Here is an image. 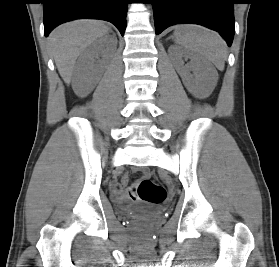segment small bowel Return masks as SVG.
Segmentation results:
<instances>
[{"label": "small bowel", "instance_id": "obj_1", "mask_svg": "<svg viewBox=\"0 0 279 267\" xmlns=\"http://www.w3.org/2000/svg\"><path fill=\"white\" fill-rule=\"evenodd\" d=\"M127 181H128V176L125 175L122 179V182L127 183ZM127 191L129 192L127 193L123 190V187L120 183L114 182L111 185V192L113 196L118 200H125L127 197L136 199V197L138 196L137 192H133L136 191V186H127Z\"/></svg>", "mask_w": 279, "mask_h": 267}]
</instances>
